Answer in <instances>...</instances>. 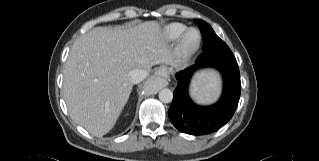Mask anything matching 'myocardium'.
Returning <instances> with one entry per match:
<instances>
[{
  "label": "myocardium",
  "mask_w": 319,
  "mask_h": 161,
  "mask_svg": "<svg viewBox=\"0 0 319 161\" xmlns=\"http://www.w3.org/2000/svg\"><path fill=\"white\" fill-rule=\"evenodd\" d=\"M191 34H195L193 41L189 40ZM201 43V34L199 30L195 28L187 29L180 37L177 53L181 60L189 59L199 48Z\"/></svg>",
  "instance_id": "myocardium-1"
}]
</instances>
